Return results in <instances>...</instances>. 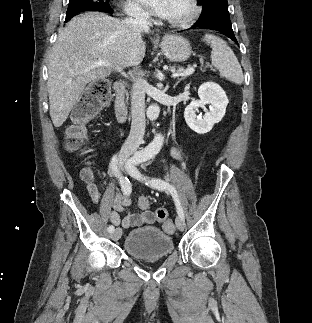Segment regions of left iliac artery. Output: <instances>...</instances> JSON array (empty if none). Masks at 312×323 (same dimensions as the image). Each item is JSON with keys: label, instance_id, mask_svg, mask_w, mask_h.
Segmentation results:
<instances>
[{"label": "left iliac artery", "instance_id": "44dca946", "mask_svg": "<svg viewBox=\"0 0 312 323\" xmlns=\"http://www.w3.org/2000/svg\"><path fill=\"white\" fill-rule=\"evenodd\" d=\"M144 161H145L144 158H139L137 160V163H142ZM131 174L133 176L142 178L141 174L136 170V168L131 170ZM144 180L148 181V182H146V185L150 184L152 187H154V188H156L158 190H166V191L170 192L173 199H174V201H175V205H176L178 214L184 218V211H183V209L181 207L177 191H176V189H175V187L173 185H171L169 182L164 181V180L159 179V178L148 179L147 177H144Z\"/></svg>", "mask_w": 312, "mask_h": 323}]
</instances>
